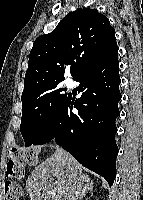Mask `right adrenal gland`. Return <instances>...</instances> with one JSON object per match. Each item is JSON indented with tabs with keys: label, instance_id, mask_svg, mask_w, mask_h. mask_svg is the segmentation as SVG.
<instances>
[{
	"label": "right adrenal gland",
	"instance_id": "right-adrenal-gland-1",
	"mask_svg": "<svg viewBox=\"0 0 143 200\" xmlns=\"http://www.w3.org/2000/svg\"><path fill=\"white\" fill-rule=\"evenodd\" d=\"M93 187H94V186H93V181L90 180V179H88V180L86 181L85 189L82 191L81 195L78 197L77 200H82V198L85 197V195H86V193H87L88 191L92 192V191H93Z\"/></svg>",
	"mask_w": 143,
	"mask_h": 200
}]
</instances>
